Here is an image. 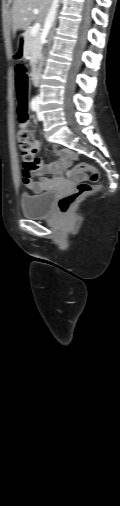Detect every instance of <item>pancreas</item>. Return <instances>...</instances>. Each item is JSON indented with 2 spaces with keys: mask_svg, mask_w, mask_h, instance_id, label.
Returning a JSON list of instances; mask_svg holds the SVG:
<instances>
[{
  "mask_svg": "<svg viewBox=\"0 0 120 506\" xmlns=\"http://www.w3.org/2000/svg\"><path fill=\"white\" fill-rule=\"evenodd\" d=\"M41 48L40 33L33 36L31 29H28L24 34L25 55L35 59L41 54Z\"/></svg>",
  "mask_w": 120,
  "mask_h": 506,
  "instance_id": "pancreas-1",
  "label": "pancreas"
}]
</instances>
